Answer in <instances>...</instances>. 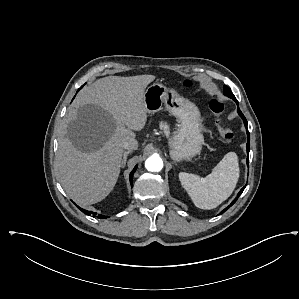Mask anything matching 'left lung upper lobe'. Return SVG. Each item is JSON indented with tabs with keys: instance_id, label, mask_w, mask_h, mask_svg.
Returning a JSON list of instances; mask_svg holds the SVG:
<instances>
[{
	"instance_id": "5c2ea615",
	"label": "left lung upper lobe",
	"mask_w": 299,
	"mask_h": 299,
	"mask_svg": "<svg viewBox=\"0 0 299 299\" xmlns=\"http://www.w3.org/2000/svg\"><path fill=\"white\" fill-rule=\"evenodd\" d=\"M224 95H226L229 98H235L234 94L232 93V91L230 90V88L228 86H224Z\"/></svg>"
}]
</instances>
